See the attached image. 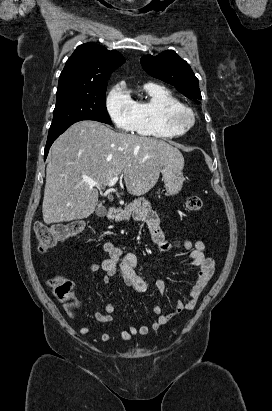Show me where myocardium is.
<instances>
[{
  "label": "myocardium",
  "mask_w": 272,
  "mask_h": 411,
  "mask_svg": "<svg viewBox=\"0 0 272 411\" xmlns=\"http://www.w3.org/2000/svg\"><path fill=\"white\" fill-rule=\"evenodd\" d=\"M167 127L178 135L189 131L195 123V115L188 107H171L165 112Z\"/></svg>",
  "instance_id": "obj_1"
}]
</instances>
